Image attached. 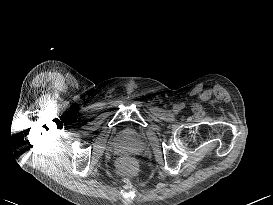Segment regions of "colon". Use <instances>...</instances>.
Wrapping results in <instances>:
<instances>
[{
	"instance_id": "colon-1",
	"label": "colon",
	"mask_w": 273,
	"mask_h": 205,
	"mask_svg": "<svg viewBox=\"0 0 273 205\" xmlns=\"http://www.w3.org/2000/svg\"><path fill=\"white\" fill-rule=\"evenodd\" d=\"M135 163L130 158H124L120 161L118 168L122 175H131L135 170Z\"/></svg>"
}]
</instances>
